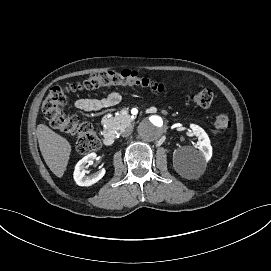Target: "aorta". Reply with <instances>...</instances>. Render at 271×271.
Listing matches in <instances>:
<instances>
[{
  "instance_id": "obj_1",
  "label": "aorta",
  "mask_w": 271,
  "mask_h": 271,
  "mask_svg": "<svg viewBox=\"0 0 271 271\" xmlns=\"http://www.w3.org/2000/svg\"><path fill=\"white\" fill-rule=\"evenodd\" d=\"M165 127V120L158 115H153L142 120L138 125L137 131L142 140L155 141L162 136Z\"/></svg>"
}]
</instances>
